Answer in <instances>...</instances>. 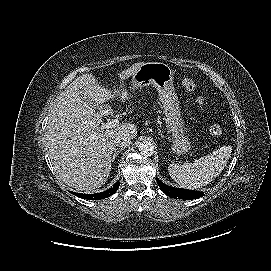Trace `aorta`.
I'll return each instance as SVG.
<instances>
[{"mask_svg": "<svg viewBox=\"0 0 271 271\" xmlns=\"http://www.w3.org/2000/svg\"><path fill=\"white\" fill-rule=\"evenodd\" d=\"M139 152L145 157L152 156L154 153V146L151 142L143 141L139 144Z\"/></svg>", "mask_w": 271, "mask_h": 271, "instance_id": "aorta-1", "label": "aorta"}]
</instances>
